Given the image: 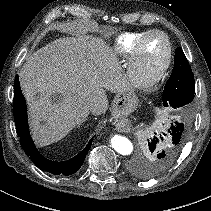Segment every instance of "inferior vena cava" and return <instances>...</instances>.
Wrapping results in <instances>:
<instances>
[{"instance_id":"obj_1","label":"inferior vena cava","mask_w":211,"mask_h":211,"mask_svg":"<svg viewBox=\"0 0 211 211\" xmlns=\"http://www.w3.org/2000/svg\"><path fill=\"white\" fill-rule=\"evenodd\" d=\"M93 107H94V103L91 102V103H90V109H93Z\"/></svg>"}]
</instances>
